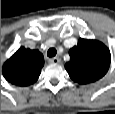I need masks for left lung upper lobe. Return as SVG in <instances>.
Returning a JSON list of instances; mask_svg holds the SVG:
<instances>
[{
    "instance_id": "1",
    "label": "left lung upper lobe",
    "mask_w": 115,
    "mask_h": 114,
    "mask_svg": "<svg viewBox=\"0 0 115 114\" xmlns=\"http://www.w3.org/2000/svg\"><path fill=\"white\" fill-rule=\"evenodd\" d=\"M71 60L65 68L71 79L79 84L95 82L108 71L111 55L107 46L97 40L80 38L69 50Z\"/></svg>"
}]
</instances>
